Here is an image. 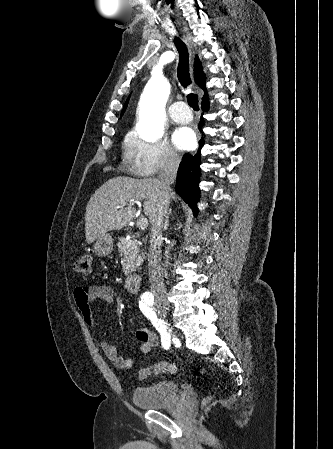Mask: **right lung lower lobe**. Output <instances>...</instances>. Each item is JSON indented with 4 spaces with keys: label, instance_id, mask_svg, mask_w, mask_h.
Here are the masks:
<instances>
[{
    "label": "right lung lower lobe",
    "instance_id": "98d812e1",
    "mask_svg": "<svg viewBox=\"0 0 333 449\" xmlns=\"http://www.w3.org/2000/svg\"><path fill=\"white\" fill-rule=\"evenodd\" d=\"M202 109L207 111L209 108V103L207 96L203 97ZM203 119L200 120L199 130H202ZM204 145L203 138L199 141V150ZM200 161L201 154L200 151L197 154H185L180 163L177 172V182L175 186L176 192L183 198V200L190 206L193 210L194 215L197 214V201L199 199V187L198 180L200 175Z\"/></svg>",
    "mask_w": 333,
    "mask_h": 449
}]
</instances>
